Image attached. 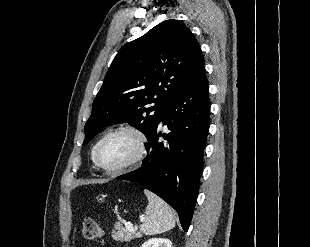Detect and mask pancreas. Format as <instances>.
<instances>
[{
	"label": "pancreas",
	"instance_id": "pancreas-1",
	"mask_svg": "<svg viewBox=\"0 0 310 247\" xmlns=\"http://www.w3.org/2000/svg\"><path fill=\"white\" fill-rule=\"evenodd\" d=\"M112 237L116 241L130 242L132 239L140 237V234L135 230L129 231L126 228L120 227L117 229V231H112Z\"/></svg>",
	"mask_w": 310,
	"mask_h": 247
}]
</instances>
